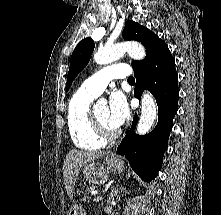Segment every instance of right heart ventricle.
I'll list each match as a JSON object with an SVG mask.
<instances>
[{"mask_svg":"<svg viewBox=\"0 0 221 215\" xmlns=\"http://www.w3.org/2000/svg\"><path fill=\"white\" fill-rule=\"evenodd\" d=\"M95 96L76 91L67 108V128L72 143L83 150L94 151L105 146L106 142L95 131L90 117V105Z\"/></svg>","mask_w":221,"mask_h":215,"instance_id":"obj_1","label":"right heart ventricle"}]
</instances>
